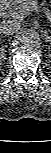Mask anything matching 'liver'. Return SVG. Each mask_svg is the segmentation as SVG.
<instances>
[{
  "mask_svg": "<svg viewBox=\"0 0 51 153\" xmlns=\"http://www.w3.org/2000/svg\"><path fill=\"white\" fill-rule=\"evenodd\" d=\"M13 0H1V3L12 2Z\"/></svg>",
  "mask_w": 51,
  "mask_h": 153,
  "instance_id": "liver-1",
  "label": "liver"
}]
</instances>
